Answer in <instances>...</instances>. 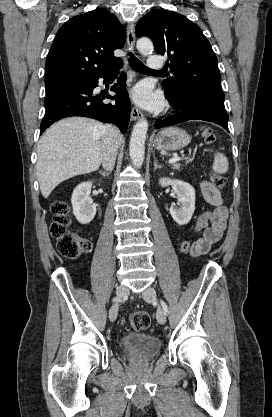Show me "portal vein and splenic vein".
<instances>
[{
  "mask_svg": "<svg viewBox=\"0 0 272 417\" xmlns=\"http://www.w3.org/2000/svg\"><path fill=\"white\" fill-rule=\"evenodd\" d=\"M181 159L182 158L175 156V157H172L171 159H169V163L172 164V163H175L177 161H180Z\"/></svg>",
  "mask_w": 272,
  "mask_h": 417,
  "instance_id": "obj_1",
  "label": "portal vein and splenic vein"
}]
</instances>
